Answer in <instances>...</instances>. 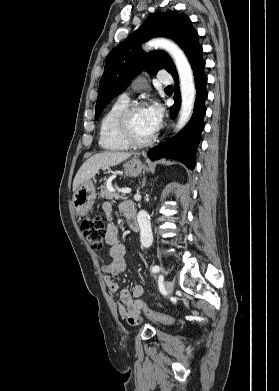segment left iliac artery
<instances>
[{"label":"left iliac artery","instance_id":"44dca946","mask_svg":"<svg viewBox=\"0 0 279 391\" xmlns=\"http://www.w3.org/2000/svg\"><path fill=\"white\" fill-rule=\"evenodd\" d=\"M159 271H160V267L158 265H155V266L152 267V272L153 273H158ZM159 279L163 280V276L160 275Z\"/></svg>","mask_w":279,"mask_h":391}]
</instances>
